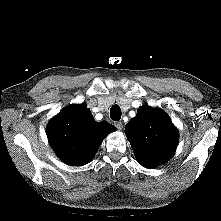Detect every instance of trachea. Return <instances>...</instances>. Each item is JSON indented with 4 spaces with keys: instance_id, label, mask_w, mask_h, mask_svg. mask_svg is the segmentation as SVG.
<instances>
[{
    "instance_id": "obj_1",
    "label": "trachea",
    "mask_w": 221,
    "mask_h": 221,
    "mask_svg": "<svg viewBox=\"0 0 221 221\" xmlns=\"http://www.w3.org/2000/svg\"><path fill=\"white\" fill-rule=\"evenodd\" d=\"M121 109L118 105H113L110 109V117L112 120L119 121L121 119Z\"/></svg>"
}]
</instances>
